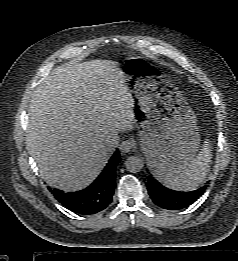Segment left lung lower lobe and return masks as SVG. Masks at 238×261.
<instances>
[{
    "label": "left lung lower lobe",
    "mask_w": 238,
    "mask_h": 261,
    "mask_svg": "<svg viewBox=\"0 0 238 261\" xmlns=\"http://www.w3.org/2000/svg\"><path fill=\"white\" fill-rule=\"evenodd\" d=\"M206 186L191 192H175L166 188L150 176L147 182L148 193L157 206L167 210H180L194 203L205 191Z\"/></svg>",
    "instance_id": "0a47b994"
}]
</instances>
